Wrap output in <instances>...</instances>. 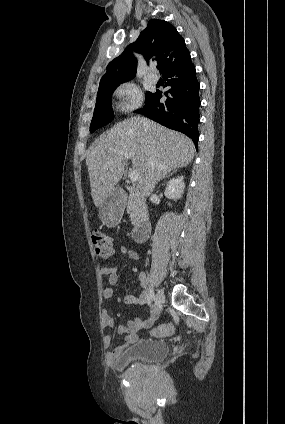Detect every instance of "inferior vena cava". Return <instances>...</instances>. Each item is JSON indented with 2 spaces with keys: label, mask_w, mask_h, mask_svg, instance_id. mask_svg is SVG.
Here are the masks:
<instances>
[{
  "label": "inferior vena cava",
  "mask_w": 285,
  "mask_h": 424,
  "mask_svg": "<svg viewBox=\"0 0 285 424\" xmlns=\"http://www.w3.org/2000/svg\"><path fill=\"white\" fill-rule=\"evenodd\" d=\"M155 165V161L152 159L151 160V166L153 167Z\"/></svg>",
  "instance_id": "602c4592"
}]
</instances>
